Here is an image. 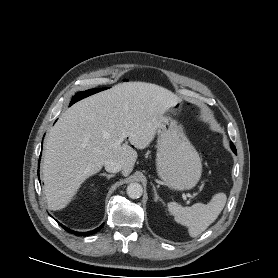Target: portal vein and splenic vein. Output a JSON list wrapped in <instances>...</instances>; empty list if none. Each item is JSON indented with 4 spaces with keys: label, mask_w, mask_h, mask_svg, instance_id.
I'll return each instance as SVG.
<instances>
[{
    "label": "portal vein and splenic vein",
    "mask_w": 278,
    "mask_h": 278,
    "mask_svg": "<svg viewBox=\"0 0 278 278\" xmlns=\"http://www.w3.org/2000/svg\"><path fill=\"white\" fill-rule=\"evenodd\" d=\"M124 137H121L119 140L116 141L115 145H119L123 142ZM183 195L185 197H189V198H193V195H191L190 193H183Z\"/></svg>",
    "instance_id": "obj_1"
}]
</instances>
